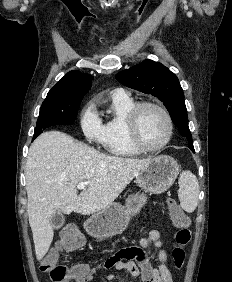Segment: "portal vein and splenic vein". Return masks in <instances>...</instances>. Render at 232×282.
<instances>
[{
    "instance_id": "obj_1",
    "label": "portal vein and splenic vein",
    "mask_w": 232,
    "mask_h": 282,
    "mask_svg": "<svg viewBox=\"0 0 232 282\" xmlns=\"http://www.w3.org/2000/svg\"><path fill=\"white\" fill-rule=\"evenodd\" d=\"M88 182H79L78 184H77V188L79 189V190H84L87 186H88Z\"/></svg>"
}]
</instances>
